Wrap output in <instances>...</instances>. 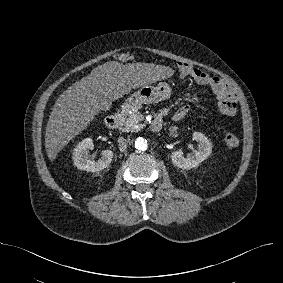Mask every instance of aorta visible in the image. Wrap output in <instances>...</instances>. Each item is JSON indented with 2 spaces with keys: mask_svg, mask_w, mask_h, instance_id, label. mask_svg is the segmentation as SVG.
<instances>
[{
  "mask_svg": "<svg viewBox=\"0 0 283 283\" xmlns=\"http://www.w3.org/2000/svg\"><path fill=\"white\" fill-rule=\"evenodd\" d=\"M135 148L139 151H146L148 149V142L143 137H138L135 140Z\"/></svg>",
  "mask_w": 283,
  "mask_h": 283,
  "instance_id": "1",
  "label": "aorta"
}]
</instances>
